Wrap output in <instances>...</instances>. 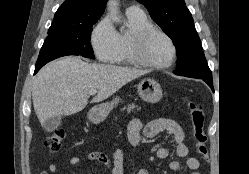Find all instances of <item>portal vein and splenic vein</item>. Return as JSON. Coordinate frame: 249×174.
I'll use <instances>...</instances> for the list:
<instances>
[{
    "mask_svg": "<svg viewBox=\"0 0 249 174\" xmlns=\"http://www.w3.org/2000/svg\"><path fill=\"white\" fill-rule=\"evenodd\" d=\"M96 93H97L96 90H91V91L89 92L90 95H95Z\"/></svg>",
    "mask_w": 249,
    "mask_h": 174,
    "instance_id": "18ae733b",
    "label": "portal vein and splenic vein"
}]
</instances>
